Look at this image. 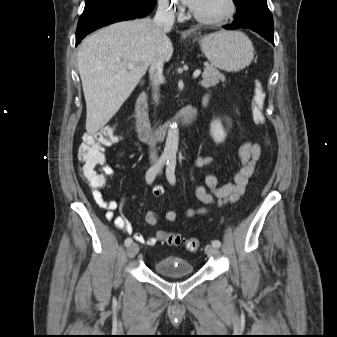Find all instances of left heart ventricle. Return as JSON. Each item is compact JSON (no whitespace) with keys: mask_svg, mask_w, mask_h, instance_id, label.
<instances>
[{"mask_svg":"<svg viewBox=\"0 0 337 337\" xmlns=\"http://www.w3.org/2000/svg\"><path fill=\"white\" fill-rule=\"evenodd\" d=\"M226 0H200L193 10L204 16H219L226 10Z\"/></svg>","mask_w":337,"mask_h":337,"instance_id":"b2bd125f","label":"left heart ventricle"}]
</instances>
